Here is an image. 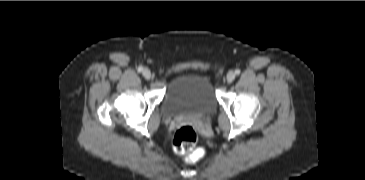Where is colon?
<instances>
[{"instance_id":"5ec220e1","label":"colon","mask_w":365,"mask_h":180,"mask_svg":"<svg viewBox=\"0 0 365 180\" xmlns=\"http://www.w3.org/2000/svg\"><path fill=\"white\" fill-rule=\"evenodd\" d=\"M197 134L192 126L180 127L173 136L172 144L177 154L188 163L199 162L204 157V151L196 148Z\"/></svg>"}]
</instances>
